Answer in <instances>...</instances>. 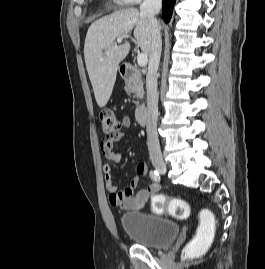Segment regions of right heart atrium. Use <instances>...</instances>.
I'll list each match as a JSON object with an SVG mask.
<instances>
[{
    "label": "right heart atrium",
    "mask_w": 265,
    "mask_h": 269,
    "mask_svg": "<svg viewBox=\"0 0 265 269\" xmlns=\"http://www.w3.org/2000/svg\"><path fill=\"white\" fill-rule=\"evenodd\" d=\"M117 1L124 5H137L141 3L143 0H117Z\"/></svg>",
    "instance_id": "right-heart-atrium-1"
}]
</instances>
